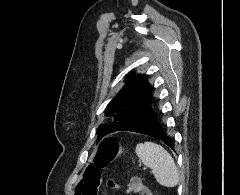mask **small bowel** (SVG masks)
Instances as JSON below:
<instances>
[{
    "instance_id": "obj_1",
    "label": "small bowel",
    "mask_w": 240,
    "mask_h": 195,
    "mask_svg": "<svg viewBox=\"0 0 240 195\" xmlns=\"http://www.w3.org/2000/svg\"><path fill=\"white\" fill-rule=\"evenodd\" d=\"M120 188V186H115L114 189L118 190ZM126 192H128L129 194H138V195H153V192H151V190L146 187L140 178L138 177H132L130 178L127 188H126Z\"/></svg>"
}]
</instances>
